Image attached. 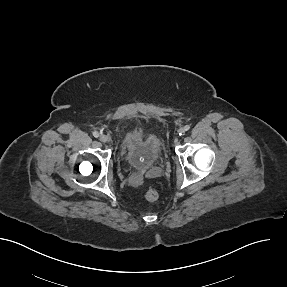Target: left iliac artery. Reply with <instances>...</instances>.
Masks as SVG:
<instances>
[{"label":"left iliac artery","mask_w":287,"mask_h":287,"mask_svg":"<svg viewBox=\"0 0 287 287\" xmlns=\"http://www.w3.org/2000/svg\"><path fill=\"white\" fill-rule=\"evenodd\" d=\"M190 129V126L189 125H186L185 127H184V130L185 131H188Z\"/></svg>","instance_id":"44dca946"}]
</instances>
